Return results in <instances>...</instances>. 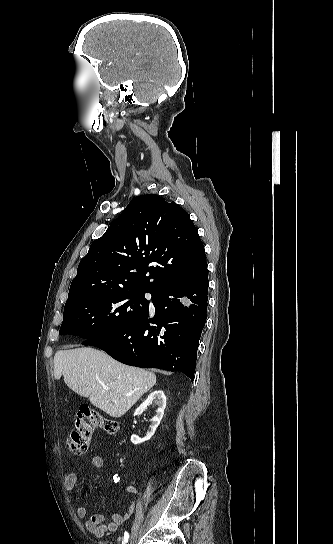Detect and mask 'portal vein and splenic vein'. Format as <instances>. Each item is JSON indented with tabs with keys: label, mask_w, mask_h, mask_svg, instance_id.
Segmentation results:
<instances>
[{
	"label": "portal vein and splenic vein",
	"mask_w": 333,
	"mask_h": 544,
	"mask_svg": "<svg viewBox=\"0 0 333 544\" xmlns=\"http://www.w3.org/2000/svg\"><path fill=\"white\" fill-rule=\"evenodd\" d=\"M105 390H109V386H104ZM129 395V394H128Z\"/></svg>",
	"instance_id": "obj_1"
}]
</instances>
